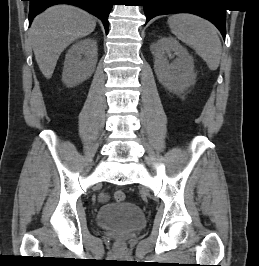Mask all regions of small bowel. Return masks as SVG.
<instances>
[{"mask_svg":"<svg viewBox=\"0 0 259 266\" xmlns=\"http://www.w3.org/2000/svg\"><path fill=\"white\" fill-rule=\"evenodd\" d=\"M106 199H107V195H106V194H102V195H101V200L104 201V200H106Z\"/></svg>","mask_w":259,"mask_h":266,"instance_id":"c3829d8e","label":"small bowel"}]
</instances>
